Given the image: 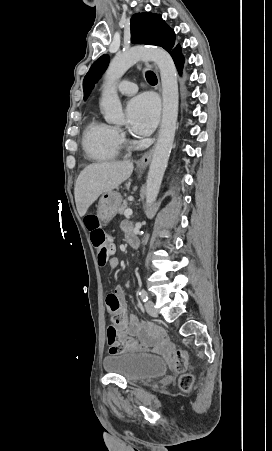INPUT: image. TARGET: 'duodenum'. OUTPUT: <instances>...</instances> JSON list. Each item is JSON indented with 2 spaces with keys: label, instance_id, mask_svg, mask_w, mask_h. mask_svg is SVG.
Listing matches in <instances>:
<instances>
[{
  "label": "duodenum",
  "instance_id": "1",
  "mask_svg": "<svg viewBox=\"0 0 272 451\" xmlns=\"http://www.w3.org/2000/svg\"><path fill=\"white\" fill-rule=\"evenodd\" d=\"M128 243L132 249H138L139 247V240L136 236L129 237Z\"/></svg>",
  "mask_w": 272,
  "mask_h": 451
}]
</instances>
